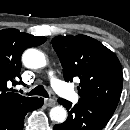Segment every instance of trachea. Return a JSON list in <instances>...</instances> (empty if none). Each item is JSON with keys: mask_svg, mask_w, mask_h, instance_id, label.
Here are the masks:
<instances>
[{"mask_svg": "<svg viewBox=\"0 0 130 130\" xmlns=\"http://www.w3.org/2000/svg\"><path fill=\"white\" fill-rule=\"evenodd\" d=\"M27 95H40L45 98L49 97L48 92L45 90L44 86L42 85H39L35 87L33 90H31L30 92H27Z\"/></svg>", "mask_w": 130, "mask_h": 130, "instance_id": "trachea-1", "label": "trachea"}]
</instances>
